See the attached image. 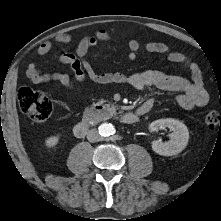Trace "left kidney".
I'll list each match as a JSON object with an SVG mask.
<instances>
[{"mask_svg":"<svg viewBox=\"0 0 221 221\" xmlns=\"http://www.w3.org/2000/svg\"><path fill=\"white\" fill-rule=\"evenodd\" d=\"M169 128L172 133L168 142L153 141L152 149L159 155L172 156L180 153L188 144L189 132L185 124L179 120L166 118L153 121L149 125L150 131Z\"/></svg>","mask_w":221,"mask_h":221,"instance_id":"5707ae66","label":"left kidney"}]
</instances>
